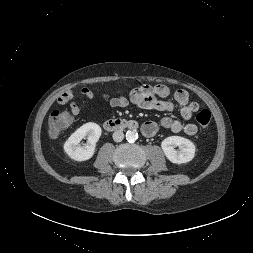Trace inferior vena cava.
<instances>
[{"label": "inferior vena cava", "instance_id": "obj_1", "mask_svg": "<svg viewBox=\"0 0 253 253\" xmlns=\"http://www.w3.org/2000/svg\"><path fill=\"white\" fill-rule=\"evenodd\" d=\"M124 138V133L121 130H117L113 133V140L115 142H121Z\"/></svg>", "mask_w": 253, "mask_h": 253}]
</instances>
